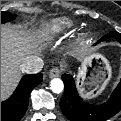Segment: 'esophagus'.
Listing matches in <instances>:
<instances>
[{
	"label": "esophagus",
	"instance_id": "1",
	"mask_svg": "<svg viewBox=\"0 0 121 121\" xmlns=\"http://www.w3.org/2000/svg\"><path fill=\"white\" fill-rule=\"evenodd\" d=\"M61 71H62L61 68H59V67H54V68H52V69L50 70V72H49V77H50V78L59 77L60 74H61Z\"/></svg>",
	"mask_w": 121,
	"mask_h": 121
}]
</instances>
